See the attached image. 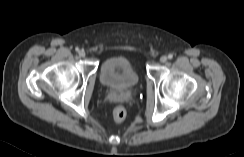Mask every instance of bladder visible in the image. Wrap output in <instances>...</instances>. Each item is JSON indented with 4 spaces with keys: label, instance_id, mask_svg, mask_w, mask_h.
I'll return each mask as SVG.
<instances>
[{
    "label": "bladder",
    "instance_id": "obj_1",
    "mask_svg": "<svg viewBox=\"0 0 244 157\" xmlns=\"http://www.w3.org/2000/svg\"><path fill=\"white\" fill-rule=\"evenodd\" d=\"M99 79L103 86L118 94L131 92L140 80L137 69L123 56L105 59L99 68Z\"/></svg>",
    "mask_w": 244,
    "mask_h": 157
}]
</instances>
